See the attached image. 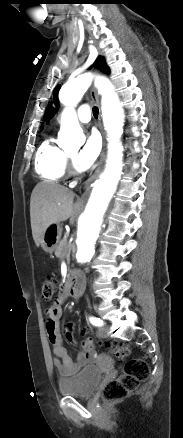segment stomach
Returning <instances> with one entry per match:
<instances>
[{
    "label": "stomach",
    "instance_id": "1",
    "mask_svg": "<svg viewBox=\"0 0 183 438\" xmlns=\"http://www.w3.org/2000/svg\"><path fill=\"white\" fill-rule=\"evenodd\" d=\"M62 228L56 223L51 225L43 234L41 247L47 253H53L61 238Z\"/></svg>",
    "mask_w": 183,
    "mask_h": 438
}]
</instances>
